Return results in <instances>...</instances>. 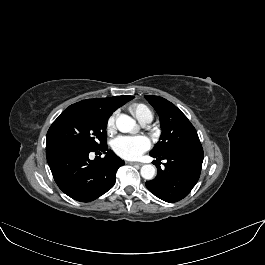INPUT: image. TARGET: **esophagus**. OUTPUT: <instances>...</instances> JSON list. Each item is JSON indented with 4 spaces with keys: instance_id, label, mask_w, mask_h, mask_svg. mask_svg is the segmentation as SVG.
Returning a JSON list of instances; mask_svg holds the SVG:
<instances>
[{
    "instance_id": "esophagus-1",
    "label": "esophagus",
    "mask_w": 265,
    "mask_h": 265,
    "mask_svg": "<svg viewBox=\"0 0 265 265\" xmlns=\"http://www.w3.org/2000/svg\"><path fill=\"white\" fill-rule=\"evenodd\" d=\"M129 164H131V165H138V166H141L142 165V163H140V162H129Z\"/></svg>"
}]
</instances>
